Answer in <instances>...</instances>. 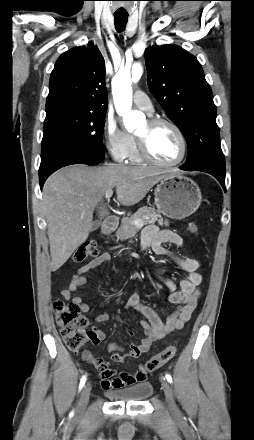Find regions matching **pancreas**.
Masks as SVG:
<instances>
[{
    "instance_id": "cf45deb5",
    "label": "pancreas",
    "mask_w": 254,
    "mask_h": 440,
    "mask_svg": "<svg viewBox=\"0 0 254 440\" xmlns=\"http://www.w3.org/2000/svg\"><path fill=\"white\" fill-rule=\"evenodd\" d=\"M142 220L144 225L158 223L159 226H169L168 220H164L161 214L153 207H141L136 213L130 217H126L121 221L116 235L121 240L133 237L141 227L133 225V221Z\"/></svg>"
}]
</instances>
